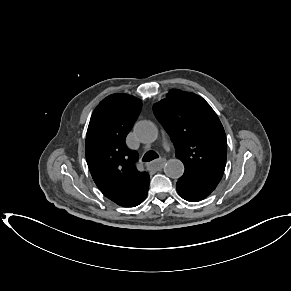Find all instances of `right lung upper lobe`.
<instances>
[{
	"label": "right lung upper lobe",
	"instance_id": "1",
	"mask_svg": "<svg viewBox=\"0 0 291 291\" xmlns=\"http://www.w3.org/2000/svg\"><path fill=\"white\" fill-rule=\"evenodd\" d=\"M142 107L138 98L116 93L95 108L86 135L85 154L99 190L120 206L132 207L148 193L149 174L135 168L137 153L125 138Z\"/></svg>",
	"mask_w": 291,
	"mask_h": 291
}]
</instances>
